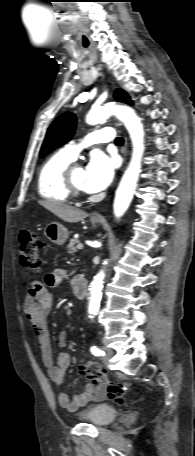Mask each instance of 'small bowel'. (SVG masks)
I'll use <instances>...</instances> for the list:
<instances>
[{
	"instance_id": "c3829d8e",
	"label": "small bowel",
	"mask_w": 195,
	"mask_h": 456,
	"mask_svg": "<svg viewBox=\"0 0 195 456\" xmlns=\"http://www.w3.org/2000/svg\"><path fill=\"white\" fill-rule=\"evenodd\" d=\"M66 277V271L57 269L46 274L43 282H33L24 299V310L32 324L42 361L47 368L48 376L53 382L57 400L61 407L75 410L92 401L102 400L107 391L104 385L86 383L85 391L70 398L63 390V380L70 364L68 353H60L54 363L47 319L52 308L54 296L49 288L57 287ZM68 333L61 331L58 336L60 346L67 345Z\"/></svg>"
}]
</instances>
